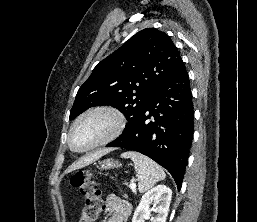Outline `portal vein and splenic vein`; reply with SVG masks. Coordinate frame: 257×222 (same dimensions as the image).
Masks as SVG:
<instances>
[{
  "mask_svg": "<svg viewBox=\"0 0 257 222\" xmlns=\"http://www.w3.org/2000/svg\"><path fill=\"white\" fill-rule=\"evenodd\" d=\"M129 187L133 190V189H136V184L135 183H130Z\"/></svg>",
  "mask_w": 257,
  "mask_h": 222,
  "instance_id": "1",
  "label": "portal vein and splenic vein"
}]
</instances>
